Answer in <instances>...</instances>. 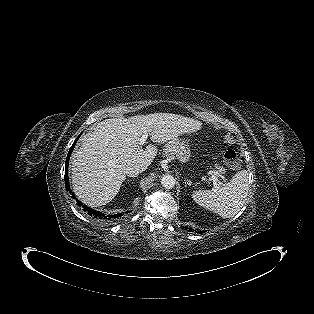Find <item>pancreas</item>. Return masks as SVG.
<instances>
[{
    "label": "pancreas",
    "instance_id": "pancreas-1",
    "mask_svg": "<svg viewBox=\"0 0 314 314\" xmlns=\"http://www.w3.org/2000/svg\"><path fill=\"white\" fill-rule=\"evenodd\" d=\"M167 146V144H166ZM165 146V147H166ZM216 169L220 172V173H225V168L221 167V166H216Z\"/></svg>",
    "mask_w": 314,
    "mask_h": 314
}]
</instances>
